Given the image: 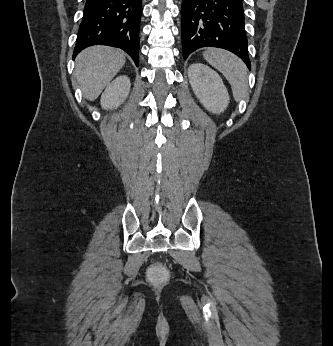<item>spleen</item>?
<instances>
[{
	"mask_svg": "<svg viewBox=\"0 0 333 346\" xmlns=\"http://www.w3.org/2000/svg\"><path fill=\"white\" fill-rule=\"evenodd\" d=\"M203 56L229 81L236 101L245 97L248 89L247 68L241 59L222 49H208Z\"/></svg>",
	"mask_w": 333,
	"mask_h": 346,
	"instance_id": "spleen-1",
	"label": "spleen"
}]
</instances>
